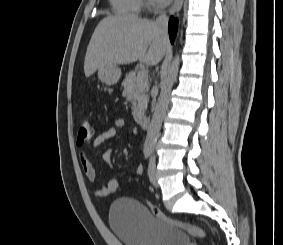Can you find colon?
<instances>
[{"label": "colon", "mask_w": 283, "mask_h": 245, "mask_svg": "<svg viewBox=\"0 0 283 245\" xmlns=\"http://www.w3.org/2000/svg\"><path fill=\"white\" fill-rule=\"evenodd\" d=\"M92 136H93V127L90 118L86 115H82L79 118L77 143L78 144L87 143L91 140ZM117 189H118V181L114 178L110 179L106 185L107 193L108 194L114 193L117 191ZM150 210L156 217L160 218L161 220L165 221L166 223L180 230H183L198 238L204 239L207 237V233L201 227L174 219L166 215L160 208H158L155 205H150Z\"/></svg>", "instance_id": "5ec220e1"}]
</instances>
